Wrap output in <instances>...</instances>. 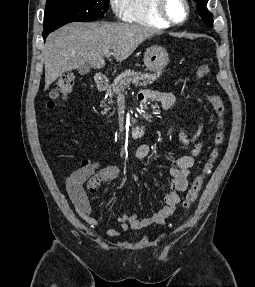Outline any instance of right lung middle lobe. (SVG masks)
I'll return each mask as SVG.
<instances>
[{"mask_svg": "<svg viewBox=\"0 0 255 287\" xmlns=\"http://www.w3.org/2000/svg\"><path fill=\"white\" fill-rule=\"evenodd\" d=\"M109 0H47L44 31L52 32L70 22H88L103 17Z\"/></svg>", "mask_w": 255, "mask_h": 287, "instance_id": "1", "label": "right lung middle lobe"}]
</instances>
